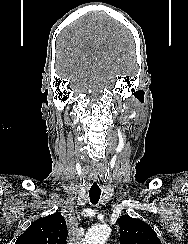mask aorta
I'll list each match as a JSON object with an SVG mask.
<instances>
[{
	"label": "aorta",
	"mask_w": 188,
	"mask_h": 244,
	"mask_svg": "<svg viewBox=\"0 0 188 244\" xmlns=\"http://www.w3.org/2000/svg\"><path fill=\"white\" fill-rule=\"evenodd\" d=\"M109 235L110 227L108 225H94L87 231L83 244H104Z\"/></svg>",
	"instance_id": "aorta-1"
}]
</instances>
